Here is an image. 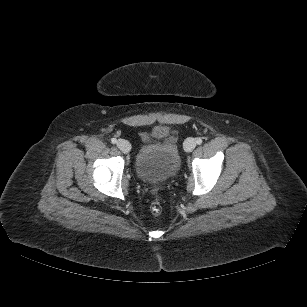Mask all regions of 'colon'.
I'll use <instances>...</instances> for the list:
<instances>
[{
    "label": "colon",
    "instance_id": "1",
    "mask_svg": "<svg viewBox=\"0 0 307 307\" xmlns=\"http://www.w3.org/2000/svg\"><path fill=\"white\" fill-rule=\"evenodd\" d=\"M151 211L154 215H158L161 213L162 208L158 200H155L151 205Z\"/></svg>",
    "mask_w": 307,
    "mask_h": 307
}]
</instances>
